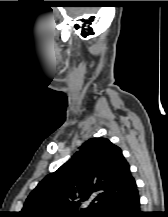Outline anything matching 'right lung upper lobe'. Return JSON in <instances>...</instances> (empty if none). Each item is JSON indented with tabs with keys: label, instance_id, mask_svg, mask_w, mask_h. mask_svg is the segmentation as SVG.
I'll return each mask as SVG.
<instances>
[{
	"label": "right lung upper lobe",
	"instance_id": "right-lung-upper-lobe-1",
	"mask_svg": "<svg viewBox=\"0 0 168 217\" xmlns=\"http://www.w3.org/2000/svg\"><path fill=\"white\" fill-rule=\"evenodd\" d=\"M137 188L121 149L106 138L86 141L71 159L30 193L20 217H94L107 203ZM93 198L86 209L78 208Z\"/></svg>",
	"mask_w": 168,
	"mask_h": 217
}]
</instances>
